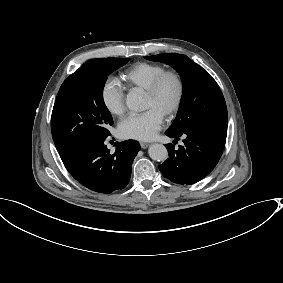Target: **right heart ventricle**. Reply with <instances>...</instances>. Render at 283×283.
Masks as SVG:
<instances>
[{
  "label": "right heart ventricle",
  "mask_w": 283,
  "mask_h": 283,
  "mask_svg": "<svg viewBox=\"0 0 283 283\" xmlns=\"http://www.w3.org/2000/svg\"><path fill=\"white\" fill-rule=\"evenodd\" d=\"M165 70L166 67L159 63L136 62L125 68L121 73V77L127 88L145 90Z\"/></svg>",
  "instance_id": "obj_1"
}]
</instances>
